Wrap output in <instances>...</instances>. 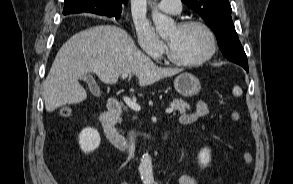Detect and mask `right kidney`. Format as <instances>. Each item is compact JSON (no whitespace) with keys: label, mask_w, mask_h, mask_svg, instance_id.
I'll list each match as a JSON object with an SVG mask.
<instances>
[{"label":"right kidney","mask_w":293,"mask_h":184,"mask_svg":"<svg viewBox=\"0 0 293 184\" xmlns=\"http://www.w3.org/2000/svg\"><path fill=\"white\" fill-rule=\"evenodd\" d=\"M101 138L94 128H85L79 134V145L84 153H90L99 147Z\"/></svg>","instance_id":"ca27d5eb"}]
</instances>
